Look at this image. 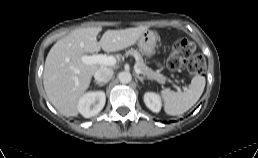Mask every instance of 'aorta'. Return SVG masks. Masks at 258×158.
<instances>
[{
	"label": "aorta",
	"instance_id": "762f6f07",
	"mask_svg": "<svg viewBox=\"0 0 258 158\" xmlns=\"http://www.w3.org/2000/svg\"><path fill=\"white\" fill-rule=\"evenodd\" d=\"M118 78H119V81L123 84L130 83L132 80V76L128 71L120 72L118 75Z\"/></svg>",
	"mask_w": 258,
	"mask_h": 158
}]
</instances>
